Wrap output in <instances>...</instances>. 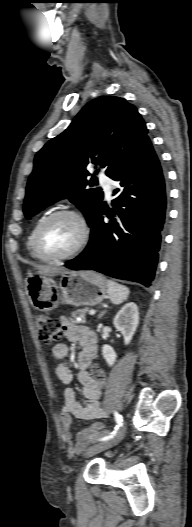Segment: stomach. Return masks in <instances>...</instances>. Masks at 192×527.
Returning <instances> with one entry per match:
<instances>
[{
  "mask_svg": "<svg viewBox=\"0 0 192 527\" xmlns=\"http://www.w3.org/2000/svg\"><path fill=\"white\" fill-rule=\"evenodd\" d=\"M26 292L31 305L39 311H51L60 304L94 306L106 297L104 278L94 271L62 273L56 282L44 275L29 276Z\"/></svg>",
  "mask_w": 192,
  "mask_h": 527,
  "instance_id": "stomach-1",
  "label": "stomach"
}]
</instances>
